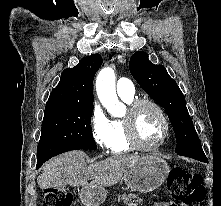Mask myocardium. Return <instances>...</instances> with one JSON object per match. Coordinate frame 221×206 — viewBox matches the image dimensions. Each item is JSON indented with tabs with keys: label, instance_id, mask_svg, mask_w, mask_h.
<instances>
[{
	"label": "myocardium",
	"instance_id": "f54148a6",
	"mask_svg": "<svg viewBox=\"0 0 221 206\" xmlns=\"http://www.w3.org/2000/svg\"><path fill=\"white\" fill-rule=\"evenodd\" d=\"M142 106H150L154 110H156V112L160 115L161 120L163 122L164 128H163L162 136H161L159 142L157 144H155L154 146L143 145L140 142L139 137H138L135 116H136V112L138 111V109ZM123 120H124V125H125V129H126L128 141L134 150H137L140 152L157 151L158 149H160L162 147V145L165 143V141L168 138L169 131H170V124H169L168 117H167L166 113L164 112V110L162 109V107L153 100H150V99L134 100L129 105L128 113Z\"/></svg>",
	"mask_w": 221,
	"mask_h": 206
}]
</instances>
